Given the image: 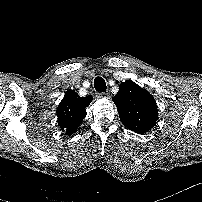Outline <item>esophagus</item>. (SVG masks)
Here are the masks:
<instances>
[{"label":"esophagus","mask_w":202,"mask_h":202,"mask_svg":"<svg viewBox=\"0 0 202 202\" xmlns=\"http://www.w3.org/2000/svg\"><path fill=\"white\" fill-rule=\"evenodd\" d=\"M97 98H109L110 95L108 93H103V92H97L96 93Z\"/></svg>","instance_id":"34e87169"}]
</instances>
